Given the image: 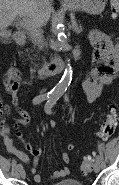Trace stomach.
<instances>
[{
    "label": "stomach",
    "mask_w": 119,
    "mask_h": 185,
    "mask_svg": "<svg viewBox=\"0 0 119 185\" xmlns=\"http://www.w3.org/2000/svg\"><path fill=\"white\" fill-rule=\"evenodd\" d=\"M107 0H72L70 9L73 11H84L88 14L96 15L101 13Z\"/></svg>",
    "instance_id": "0dacf381"
}]
</instances>
